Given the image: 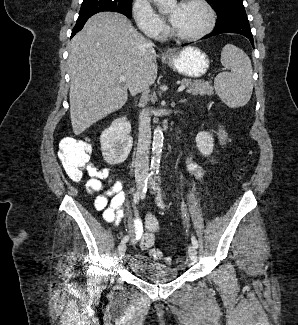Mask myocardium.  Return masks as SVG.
<instances>
[{"instance_id":"1","label":"myocardium","mask_w":298,"mask_h":325,"mask_svg":"<svg viewBox=\"0 0 298 325\" xmlns=\"http://www.w3.org/2000/svg\"><path fill=\"white\" fill-rule=\"evenodd\" d=\"M190 1L195 3L204 12L206 18L204 26L196 33L185 35L174 31L171 25L169 24L167 35L170 38L180 40V41H196L203 38L206 34L210 32L213 25V16L209 6L205 4L202 0H190Z\"/></svg>"}]
</instances>
